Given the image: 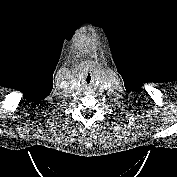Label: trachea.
Listing matches in <instances>:
<instances>
[{"label":"trachea","instance_id":"trachea-1","mask_svg":"<svg viewBox=\"0 0 177 177\" xmlns=\"http://www.w3.org/2000/svg\"><path fill=\"white\" fill-rule=\"evenodd\" d=\"M86 81L89 83L91 81V76L90 74H88V76L86 77Z\"/></svg>","mask_w":177,"mask_h":177}]
</instances>
